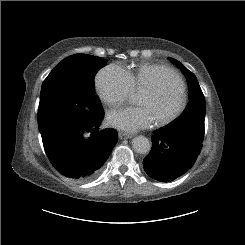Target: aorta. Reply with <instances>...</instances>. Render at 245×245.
Instances as JSON below:
<instances>
[{"label":"aorta","mask_w":245,"mask_h":245,"mask_svg":"<svg viewBox=\"0 0 245 245\" xmlns=\"http://www.w3.org/2000/svg\"><path fill=\"white\" fill-rule=\"evenodd\" d=\"M132 102H135V96H132ZM133 149L136 153L147 154L151 149V143L145 136H137L132 141Z\"/></svg>","instance_id":"obj_1"}]
</instances>
